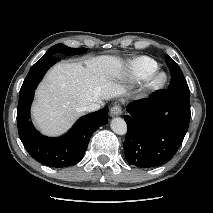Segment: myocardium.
Returning <instances> with one entry per match:
<instances>
[{"mask_svg": "<svg viewBox=\"0 0 213 213\" xmlns=\"http://www.w3.org/2000/svg\"><path fill=\"white\" fill-rule=\"evenodd\" d=\"M167 82V75L160 71L153 74L146 84V89L149 91H156L161 89Z\"/></svg>", "mask_w": 213, "mask_h": 213, "instance_id": "1", "label": "myocardium"}]
</instances>
